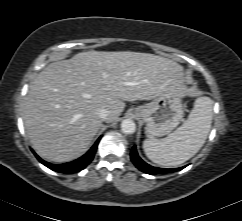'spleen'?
<instances>
[{
	"label": "spleen",
	"instance_id": "spleen-1",
	"mask_svg": "<svg viewBox=\"0 0 242 221\" xmlns=\"http://www.w3.org/2000/svg\"><path fill=\"white\" fill-rule=\"evenodd\" d=\"M213 101L206 96L195 100L188 119L166 138L146 139V156L162 166H177L192 158L203 146L212 123Z\"/></svg>",
	"mask_w": 242,
	"mask_h": 221
}]
</instances>
